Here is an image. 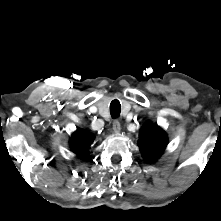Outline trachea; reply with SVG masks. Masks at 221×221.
I'll list each match as a JSON object with an SVG mask.
<instances>
[{
    "label": "trachea",
    "instance_id": "obj_1",
    "mask_svg": "<svg viewBox=\"0 0 221 221\" xmlns=\"http://www.w3.org/2000/svg\"><path fill=\"white\" fill-rule=\"evenodd\" d=\"M121 112V104L118 100H113L110 104V114L112 118H117Z\"/></svg>",
    "mask_w": 221,
    "mask_h": 221
}]
</instances>
